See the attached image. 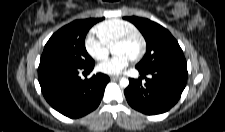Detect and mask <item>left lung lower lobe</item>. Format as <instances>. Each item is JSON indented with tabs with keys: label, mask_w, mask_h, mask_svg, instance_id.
<instances>
[{
	"label": "left lung lower lobe",
	"mask_w": 225,
	"mask_h": 132,
	"mask_svg": "<svg viewBox=\"0 0 225 132\" xmlns=\"http://www.w3.org/2000/svg\"><path fill=\"white\" fill-rule=\"evenodd\" d=\"M139 70V69H138ZM138 79H129L124 94L129 105L147 115H156L168 111L179 100L187 82V66H160L149 71L139 70ZM146 83L142 84V79Z\"/></svg>",
	"instance_id": "obj_1"
}]
</instances>
